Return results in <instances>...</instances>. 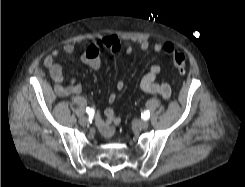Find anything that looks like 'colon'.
<instances>
[{
  "label": "colon",
  "instance_id": "obj_1",
  "mask_svg": "<svg viewBox=\"0 0 245 187\" xmlns=\"http://www.w3.org/2000/svg\"><path fill=\"white\" fill-rule=\"evenodd\" d=\"M165 52L168 53L172 58V63L180 75H183L186 71V57L185 55L177 50L172 44L167 43L165 45Z\"/></svg>",
  "mask_w": 245,
  "mask_h": 187
}]
</instances>
